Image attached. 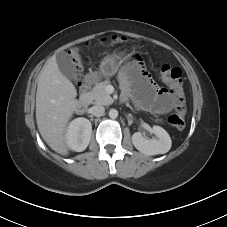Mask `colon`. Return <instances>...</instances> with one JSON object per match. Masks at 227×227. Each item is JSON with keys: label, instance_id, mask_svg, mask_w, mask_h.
<instances>
[{"label": "colon", "instance_id": "5ec220e1", "mask_svg": "<svg viewBox=\"0 0 227 227\" xmlns=\"http://www.w3.org/2000/svg\"><path fill=\"white\" fill-rule=\"evenodd\" d=\"M111 43L122 44L124 42L123 37L115 36L110 39ZM72 57L75 62L78 63V52L73 50L71 52ZM161 78L162 80L171 88L175 96V111L168 118V123L175 129L181 130L185 126V98L183 92V81H182V71L173 67L169 64H164L161 67Z\"/></svg>", "mask_w": 227, "mask_h": 227}]
</instances>
